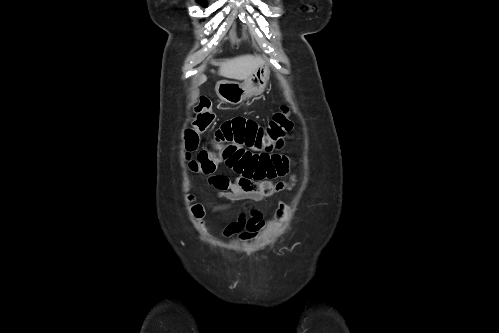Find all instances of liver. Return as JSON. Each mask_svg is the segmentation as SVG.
<instances>
[{
    "instance_id": "obj_1",
    "label": "liver",
    "mask_w": 499,
    "mask_h": 333,
    "mask_svg": "<svg viewBox=\"0 0 499 333\" xmlns=\"http://www.w3.org/2000/svg\"><path fill=\"white\" fill-rule=\"evenodd\" d=\"M213 64L219 66L221 76L241 81L249 78L258 67L265 65V60L260 56L245 55ZM206 80V76H201L200 84Z\"/></svg>"
}]
</instances>
